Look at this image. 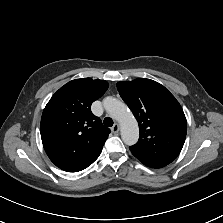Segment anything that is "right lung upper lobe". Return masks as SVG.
I'll return each instance as SVG.
<instances>
[{
    "label": "right lung upper lobe",
    "mask_w": 223,
    "mask_h": 223,
    "mask_svg": "<svg viewBox=\"0 0 223 223\" xmlns=\"http://www.w3.org/2000/svg\"><path fill=\"white\" fill-rule=\"evenodd\" d=\"M108 89L104 80L75 79L61 87L44 108L40 132L44 149L60 169L77 172L100 155L110 129L91 112Z\"/></svg>",
    "instance_id": "obj_1"
}]
</instances>
